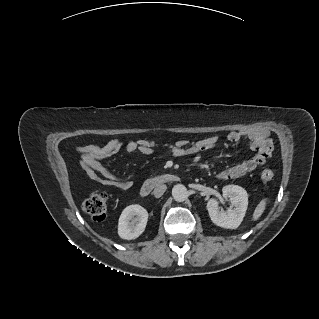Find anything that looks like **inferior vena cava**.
<instances>
[{
	"label": "inferior vena cava",
	"instance_id": "inferior-vena-cava-1",
	"mask_svg": "<svg viewBox=\"0 0 319 319\" xmlns=\"http://www.w3.org/2000/svg\"><path fill=\"white\" fill-rule=\"evenodd\" d=\"M166 189H167V186L165 184L157 185L153 191V195L156 198H159L163 195V193L166 191Z\"/></svg>",
	"mask_w": 319,
	"mask_h": 319
}]
</instances>
